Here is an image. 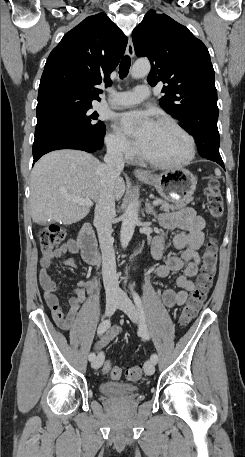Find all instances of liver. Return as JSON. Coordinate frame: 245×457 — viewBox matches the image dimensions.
<instances>
[{"label": "liver", "instance_id": "1", "mask_svg": "<svg viewBox=\"0 0 245 457\" xmlns=\"http://www.w3.org/2000/svg\"><path fill=\"white\" fill-rule=\"evenodd\" d=\"M98 158L84 150H53L39 158L31 170L30 206L34 222L62 220L72 224L84 218L90 210L86 204L67 200L66 196H80L99 200L101 182ZM125 182L118 176L113 184V194L119 200L125 192Z\"/></svg>", "mask_w": 245, "mask_h": 457}]
</instances>
